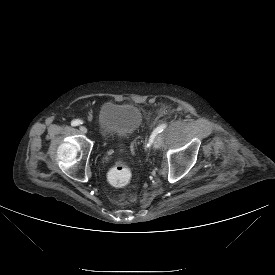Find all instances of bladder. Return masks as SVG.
<instances>
[{
	"label": "bladder",
	"mask_w": 275,
	"mask_h": 275,
	"mask_svg": "<svg viewBox=\"0 0 275 275\" xmlns=\"http://www.w3.org/2000/svg\"><path fill=\"white\" fill-rule=\"evenodd\" d=\"M142 122L140 108L131 103L109 101L98 113L99 131L104 139H126L136 133Z\"/></svg>",
	"instance_id": "1"
}]
</instances>
